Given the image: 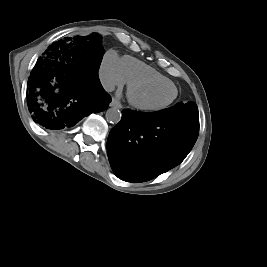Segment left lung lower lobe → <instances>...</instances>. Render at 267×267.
Returning a JSON list of instances; mask_svg holds the SVG:
<instances>
[{
    "instance_id": "1",
    "label": "left lung lower lobe",
    "mask_w": 267,
    "mask_h": 267,
    "mask_svg": "<svg viewBox=\"0 0 267 267\" xmlns=\"http://www.w3.org/2000/svg\"><path fill=\"white\" fill-rule=\"evenodd\" d=\"M198 133V110L174 106L146 113L124 109L107 140L112 170L124 181L151 180L180 164Z\"/></svg>"
}]
</instances>
